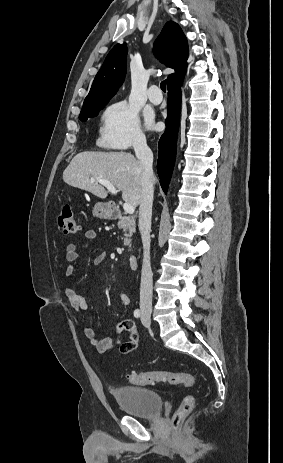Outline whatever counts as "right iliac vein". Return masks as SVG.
Listing matches in <instances>:
<instances>
[{
	"mask_svg": "<svg viewBox=\"0 0 283 463\" xmlns=\"http://www.w3.org/2000/svg\"><path fill=\"white\" fill-rule=\"evenodd\" d=\"M144 314H145V316H149V315H150L149 312H144Z\"/></svg>",
	"mask_w": 283,
	"mask_h": 463,
	"instance_id": "right-iliac-vein-1",
	"label": "right iliac vein"
}]
</instances>
